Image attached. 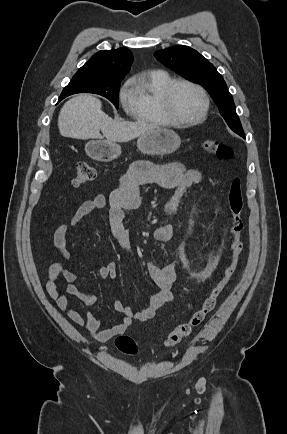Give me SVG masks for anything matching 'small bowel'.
Instances as JSON below:
<instances>
[{"label": "small bowel", "instance_id": "1", "mask_svg": "<svg viewBox=\"0 0 287 434\" xmlns=\"http://www.w3.org/2000/svg\"><path fill=\"white\" fill-rule=\"evenodd\" d=\"M201 172L197 169H187L181 163L163 165L152 164L148 161L133 162L128 171L121 176L120 183L112 191L109 199L104 195H97L93 199L85 201L72 217L60 224L54 232V246L61 257L67 259L70 253L67 249V237L74 233L84 218L97 210L106 209L108 213L111 236L126 250L130 262H133L131 251L130 228L124 226V218L127 210H133L140 204V186L145 184H157L171 191L170 198L164 206V212L172 216L177 212V206L188 188L201 181ZM175 236V227L171 223L158 226L154 231V238L159 242H166ZM148 275L157 287V291L150 297L145 308L135 311L126 306L122 301L115 300L113 308L123 318L112 327L102 329V322L91 312L79 313L70 303L69 295L78 297L86 306L96 303L95 295L80 290L76 282L79 275L67 270L61 261L53 262L48 270L47 291L57 306L66 313L75 324L85 327L98 341L106 342L115 336L123 334L132 324L133 320L147 321L154 317L155 313L165 304L173 300L172 288L177 280V268L175 264L159 267L148 262ZM102 279L114 280L117 278V264L114 261L100 267L97 271ZM62 277L66 281L65 291H58V279Z\"/></svg>", "mask_w": 287, "mask_h": 434}]
</instances>
